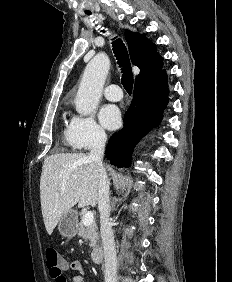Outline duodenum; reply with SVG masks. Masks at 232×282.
Listing matches in <instances>:
<instances>
[{"label":"duodenum","instance_id":"obj_1","mask_svg":"<svg viewBox=\"0 0 232 282\" xmlns=\"http://www.w3.org/2000/svg\"><path fill=\"white\" fill-rule=\"evenodd\" d=\"M91 258H92V261L96 264L102 263L103 258H104L103 248L101 246L93 247L91 251Z\"/></svg>","mask_w":232,"mask_h":282}]
</instances>
